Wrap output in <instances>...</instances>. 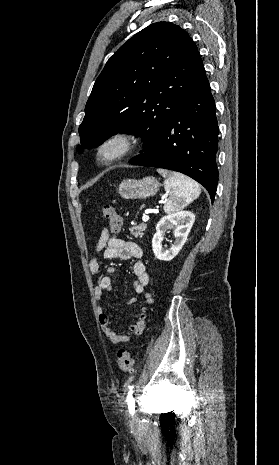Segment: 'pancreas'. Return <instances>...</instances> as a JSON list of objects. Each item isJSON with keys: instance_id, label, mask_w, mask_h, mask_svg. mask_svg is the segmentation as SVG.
I'll return each mask as SVG.
<instances>
[{"instance_id": "obj_1", "label": "pancreas", "mask_w": 279, "mask_h": 465, "mask_svg": "<svg viewBox=\"0 0 279 465\" xmlns=\"http://www.w3.org/2000/svg\"><path fill=\"white\" fill-rule=\"evenodd\" d=\"M147 226L145 224H140L137 226H134L130 229V232L132 233L133 236L142 238L143 236V231H145Z\"/></svg>"}]
</instances>
